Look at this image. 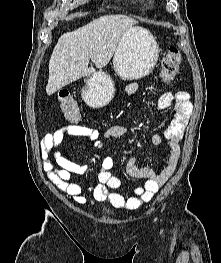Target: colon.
Returning <instances> with one entry per match:
<instances>
[{
    "label": "colon",
    "instance_id": "5ec220e1",
    "mask_svg": "<svg viewBox=\"0 0 221 263\" xmlns=\"http://www.w3.org/2000/svg\"><path fill=\"white\" fill-rule=\"evenodd\" d=\"M182 57L176 47H170L162 62V78L166 82L173 80L181 65ZM59 104L65 118L71 122H78L81 118L80 109L75 100L68 94L59 95Z\"/></svg>",
    "mask_w": 221,
    "mask_h": 263
}]
</instances>
